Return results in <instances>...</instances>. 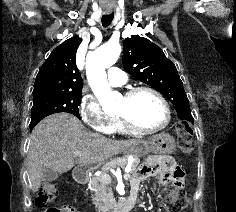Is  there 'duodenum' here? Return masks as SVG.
Here are the masks:
<instances>
[{
	"instance_id": "duodenum-1",
	"label": "duodenum",
	"mask_w": 236,
	"mask_h": 212,
	"mask_svg": "<svg viewBox=\"0 0 236 212\" xmlns=\"http://www.w3.org/2000/svg\"><path fill=\"white\" fill-rule=\"evenodd\" d=\"M89 170L84 166L76 167L73 171V177L78 184H85L88 179ZM138 200V189H131L129 195L120 202L115 208L105 209L106 212H128Z\"/></svg>"
}]
</instances>
